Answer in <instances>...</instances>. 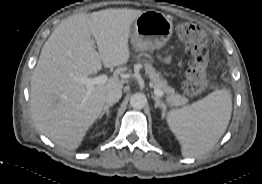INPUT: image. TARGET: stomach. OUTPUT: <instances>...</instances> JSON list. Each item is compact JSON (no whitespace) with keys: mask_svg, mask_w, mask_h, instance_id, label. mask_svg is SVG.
Wrapping results in <instances>:
<instances>
[{"mask_svg":"<svg viewBox=\"0 0 262 184\" xmlns=\"http://www.w3.org/2000/svg\"><path fill=\"white\" fill-rule=\"evenodd\" d=\"M131 43L136 51H153L166 45L173 33L172 21L163 13L143 11L134 21Z\"/></svg>","mask_w":262,"mask_h":184,"instance_id":"obj_1","label":"stomach"}]
</instances>
